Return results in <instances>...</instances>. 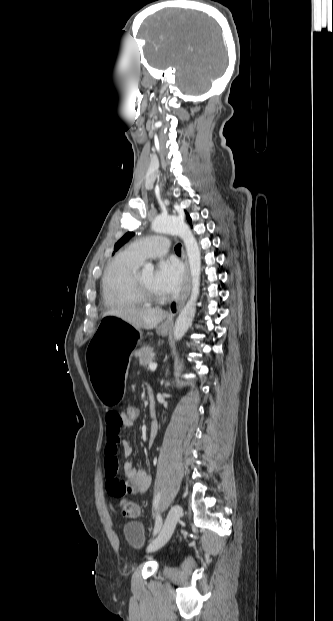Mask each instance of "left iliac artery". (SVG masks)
I'll list each match as a JSON object with an SVG mask.
<instances>
[{"mask_svg":"<svg viewBox=\"0 0 333 621\" xmlns=\"http://www.w3.org/2000/svg\"><path fill=\"white\" fill-rule=\"evenodd\" d=\"M160 498H161V492H158L155 495L154 499H153V508L156 511V518H155V526H154L153 535H156L160 531V529L162 527V517L160 516V514L157 511Z\"/></svg>","mask_w":333,"mask_h":621,"instance_id":"obj_1","label":"left iliac artery"}]
</instances>
